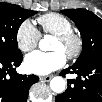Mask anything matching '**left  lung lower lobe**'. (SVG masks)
I'll return each mask as SVG.
<instances>
[{
  "instance_id": "obj_1",
  "label": "left lung lower lobe",
  "mask_w": 102,
  "mask_h": 102,
  "mask_svg": "<svg viewBox=\"0 0 102 102\" xmlns=\"http://www.w3.org/2000/svg\"><path fill=\"white\" fill-rule=\"evenodd\" d=\"M76 73V80H68L67 90L56 96V102H101L102 59L94 58L73 64L60 75Z\"/></svg>"
}]
</instances>
